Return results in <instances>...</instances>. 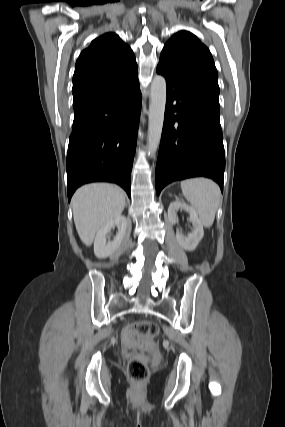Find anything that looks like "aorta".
Masks as SVG:
<instances>
[{
	"label": "aorta",
	"instance_id": "aorta-1",
	"mask_svg": "<svg viewBox=\"0 0 285 427\" xmlns=\"http://www.w3.org/2000/svg\"><path fill=\"white\" fill-rule=\"evenodd\" d=\"M166 81L161 75H155L150 87L149 123L147 153L153 156L159 146L166 105Z\"/></svg>",
	"mask_w": 285,
	"mask_h": 427
}]
</instances>
